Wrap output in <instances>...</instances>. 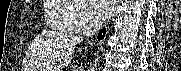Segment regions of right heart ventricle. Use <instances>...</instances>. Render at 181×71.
<instances>
[{
  "mask_svg": "<svg viewBox=\"0 0 181 71\" xmlns=\"http://www.w3.org/2000/svg\"><path fill=\"white\" fill-rule=\"evenodd\" d=\"M69 10L70 7L66 4L59 1L47 0L45 5L47 24L55 30L70 32L66 21V13Z\"/></svg>",
  "mask_w": 181,
  "mask_h": 71,
  "instance_id": "e07e8e85",
  "label": "right heart ventricle"
}]
</instances>
